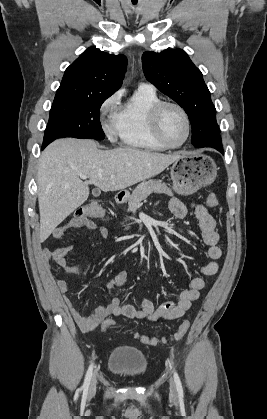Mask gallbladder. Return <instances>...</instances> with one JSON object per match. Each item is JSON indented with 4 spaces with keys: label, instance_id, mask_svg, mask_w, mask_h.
Returning <instances> with one entry per match:
<instances>
[{
    "label": "gallbladder",
    "instance_id": "1",
    "mask_svg": "<svg viewBox=\"0 0 267 419\" xmlns=\"http://www.w3.org/2000/svg\"><path fill=\"white\" fill-rule=\"evenodd\" d=\"M92 194H93L94 196H99V194H100V190H99V189H94V190L92 191Z\"/></svg>",
    "mask_w": 267,
    "mask_h": 419
}]
</instances>
